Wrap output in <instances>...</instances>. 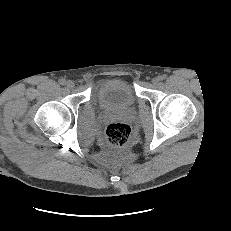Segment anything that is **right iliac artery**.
<instances>
[{
	"instance_id": "obj_1",
	"label": "right iliac artery",
	"mask_w": 231,
	"mask_h": 231,
	"mask_svg": "<svg viewBox=\"0 0 231 231\" xmlns=\"http://www.w3.org/2000/svg\"><path fill=\"white\" fill-rule=\"evenodd\" d=\"M59 83H60L61 85H65V84H66V80H65V79H60Z\"/></svg>"
}]
</instances>
